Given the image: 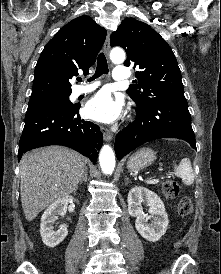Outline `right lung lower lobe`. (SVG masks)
Listing matches in <instances>:
<instances>
[{"mask_svg": "<svg viewBox=\"0 0 221 274\" xmlns=\"http://www.w3.org/2000/svg\"><path fill=\"white\" fill-rule=\"evenodd\" d=\"M79 108V104L56 105L27 111L18 160L31 149L63 145L89 157L95 164L103 135L96 124L80 118Z\"/></svg>", "mask_w": 221, "mask_h": 274, "instance_id": "98d812e1", "label": "right lung lower lobe"}]
</instances>
